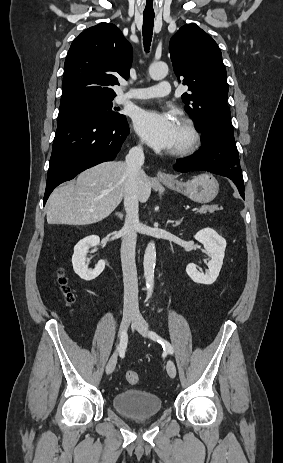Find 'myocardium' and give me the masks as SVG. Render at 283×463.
<instances>
[{"mask_svg": "<svg viewBox=\"0 0 283 463\" xmlns=\"http://www.w3.org/2000/svg\"><path fill=\"white\" fill-rule=\"evenodd\" d=\"M178 124L185 131L187 140L181 146L172 149L170 154L173 156H187L199 148L201 135L195 123L189 118H180Z\"/></svg>", "mask_w": 283, "mask_h": 463, "instance_id": "myocardium-1", "label": "myocardium"}]
</instances>
